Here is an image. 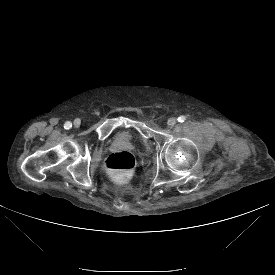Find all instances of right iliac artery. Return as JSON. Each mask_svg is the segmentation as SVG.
<instances>
[{"instance_id":"82829eb1","label":"right iliac artery","mask_w":275,"mask_h":275,"mask_svg":"<svg viewBox=\"0 0 275 275\" xmlns=\"http://www.w3.org/2000/svg\"><path fill=\"white\" fill-rule=\"evenodd\" d=\"M71 127H72V123L70 121L65 122V124H64L65 129L69 130Z\"/></svg>"}]
</instances>
